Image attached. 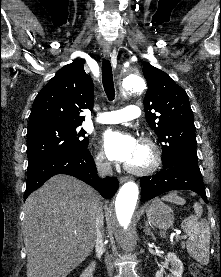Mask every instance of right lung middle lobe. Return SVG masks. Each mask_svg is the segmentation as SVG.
Masks as SVG:
<instances>
[{
    "label": "right lung middle lobe",
    "mask_w": 221,
    "mask_h": 277,
    "mask_svg": "<svg viewBox=\"0 0 221 277\" xmlns=\"http://www.w3.org/2000/svg\"><path fill=\"white\" fill-rule=\"evenodd\" d=\"M80 124H57L28 126V169L46 160L56 159L88 147L86 131Z\"/></svg>",
    "instance_id": "obj_1"
}]
</instances>
